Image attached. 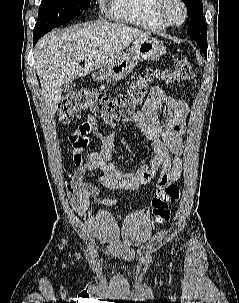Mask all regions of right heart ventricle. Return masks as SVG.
Masks as SVG:
<instances>
[{
    "label": "right heart ventricle",
    "instance_id": "obj_1",
    "mask_svg": "<svg viewBox=\"0 0 239 303\" xmlns=\"http://www.w3.org/2000/svg\"><path fill=\"white\" fill-rule=\"evenodd\" d=\"M157 0H112L110 14L113 18L151 31L167 28L155 15Z\"/></svg>",
    "mask_w": 239,
    "mask_h": 303
}]
</instances>
